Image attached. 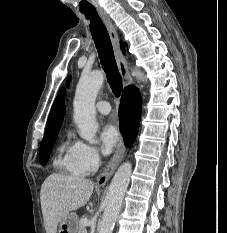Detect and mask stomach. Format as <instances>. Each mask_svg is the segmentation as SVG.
Masks as SVG:
<instances>
[{
    "label": "stomach",
    "instance_id": "1",
    "mask_svg": "<svg viewBox=\"0 0 227 233\" xmlns=\"http://www.w3.org/2000/svg\"><path fill=\"white\" fill-rule=\"evenodd\" d=\"M78 225V216L75 213H70L61 221L59 233H77Z\"/></svg>",
    "mask_w": 227,
    "mask_h": 233
}]
</instances>
